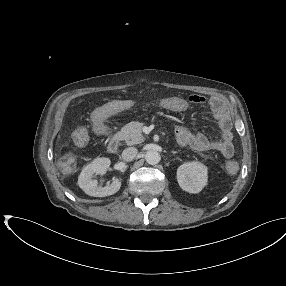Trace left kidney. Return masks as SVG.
I'll list each match as a JSON object with an SVG mask.
<instances>
[{
    "instance_id": "1",
    "label": "left kidney",
    "mask_w": 286,
    "mask_h": 286,
    "mask_svg": "<svg viewBox=\"0 0 286 286\" xmlns=\"http://www.w3.org/2000/svg\"><path fill=\"white\" fill-rule=\"evenodd\" d=\"M207 167L197 161L186 162L177 169L179 186L189 193H199L207 184Z\"/></svg>"
}]
</instances>
